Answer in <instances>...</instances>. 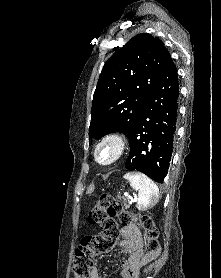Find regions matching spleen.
<instances>
[{"mask_svg":"<svg viewBox=\"0 0 221 278\" xmlns=\"http://www.w3.org/2000/svg\"><path fill=\"white\" fill-rule=\"evenodd\" d=\"M124 178L129 181L133 189L138 190V209L147 210L158 203L159 189L149 177L133 172L125 174Z\"/></svg>","mask_w":221,"mask_h":278,"instance_id":"obj_1","label":"spleen"}]
</instances>
